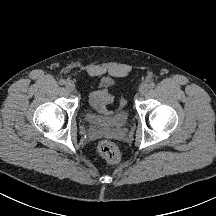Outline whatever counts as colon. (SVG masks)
<instances>
[{"instance_id":"obj_1","label":"colon","mask_w":216,"mask_h":216,"mask_svg":"<svg viewBox=\"0 0 216 216\" xmlns=\"http://www.w3.org/2000/svg\"><path fill=\"white\" fill-rule=\"evenodd\" d=\"M98 151L109 162H116L119 159L118 148L109 140H102L98 145Z\"/></svg>"}]
</instances>
